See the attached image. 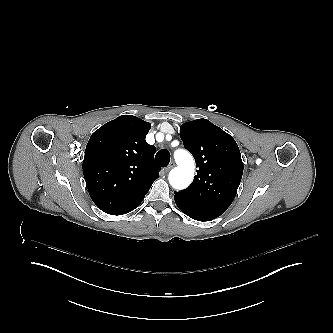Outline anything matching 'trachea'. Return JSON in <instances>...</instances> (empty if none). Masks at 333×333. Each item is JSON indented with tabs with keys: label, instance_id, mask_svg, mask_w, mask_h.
<instances>
[{
	"label": "trachea",
	"instance_id": "obj_1",
	"mask_svg": "<svg viewBox=\"0 0 333 333\" xmlns=\"http://www.w3.org/2000/svg\"><path fill=\"white\" fill-rule=\"evenodd\" d=\"M156 163L161 167H166L170 162V153L167 150H160L155 156Z\"/></svg>",
	"mask_w": 333,
	"mask_h": 333
}]
</instances>
